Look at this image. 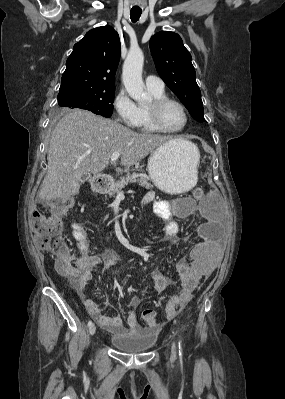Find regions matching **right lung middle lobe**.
Masks as SVG:
<instances>
[{"instance_id": "obj_1", "label": "right lung middle lobe", "mask_w": 285, "mask_h": 399, "mask_svg": "<svg viewBox=\"0 0 285 399\" xmlns=\"http://www.w3.org/2000/svg\"><path fill=\"white\" fill-rule=\"evenodd\" d=\"M115 90H78L58 94L61 107L89 110L103 117H111Z\"/></svg>"}]
</instances>
